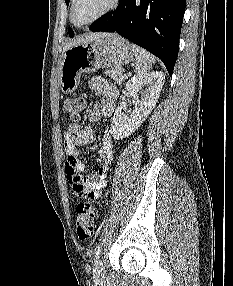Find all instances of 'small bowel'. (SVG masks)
Here are the masks:
<instances>
[{
    "label": "small bowel",
    "instance_id": "small-bowel-1",
    "mask_svg": "<svg viewBox=\"0 0 233 286\" xmlns=\"http://www.w3.org/2000/svg\"><path fill=\"white\" fill-rule=\"evenodd\" d=\"M88 85L89 89L99 96L98 102L89 113V122L92 124L113 114L118 93L112 84L99 77L92 78ZM94 140L95 132L91 125L82 126L79 123H73L68 126L64 134L65 172L72 193L80 198L100 197L106 186V178L113 159V141L105 132L98 151L99 168L90 176L84 175L85 164L80 159L79 147Z\"/></svg>",
    "mask_w": 233,
    "mask_h": 286
}]
</instances>
